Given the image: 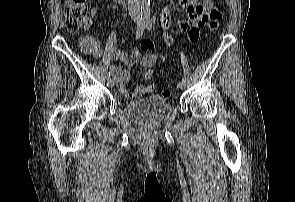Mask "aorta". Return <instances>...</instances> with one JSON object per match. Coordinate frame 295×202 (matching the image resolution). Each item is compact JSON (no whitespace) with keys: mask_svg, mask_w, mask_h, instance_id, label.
Masks as SVG:
<instances>
[{"mask_svg":"<svg viewBox=\"0 0 295 202\" xmlns=\"http://www.w3.org/2000/svg\"><path fill=\"white\" fill-rule=\"evenodd\" d=\"M141 17L150 19V0H141Z\"/></svg>","mask_w":295,"mask_h":202,"instance_id":"1","label":"aorta"}]
</instances>
